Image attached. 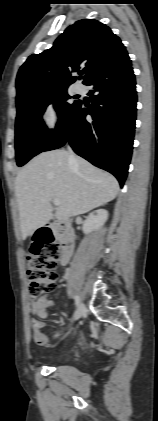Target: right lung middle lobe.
I'll return each mask as SVG.
<instances>
[{
    "mask_svg": "<svg viewBox=\"0 0 158 421\" xmlns=\"http://www.w3.org/2000/svg\"><path fill=\"white\" fill-rule=\"evenodd\" d=\"M67 89L37 95L17 104L15 150L18 166H23L49 144L57 130L75 111L80 101L70 103ZM49 104L56 109L59 121L56 128L49 130L42 115Z\"/></svg>",
    "mask_w": 158,
    "mask_h": 421,
    "instance_id": "obj_1",
    "label": "right lung middle lobe"
}]
</instances>
